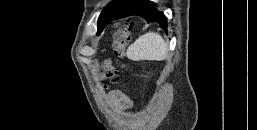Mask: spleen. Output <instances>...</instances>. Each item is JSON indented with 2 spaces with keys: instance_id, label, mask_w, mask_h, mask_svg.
<instances>
[{
  "instance_id": "1",
  "label": "spleen",
  "mask_w": 257,
  "mask_h": 130,
  "mask_svg": "<svg viewBox=\"0 0 257 130\" xmlns=\"http://www.w3.org/2000/svg\"><path fill=\"white\" fill-rule=\"evenodd\" d=\"M168 46L161 35L148 32L140 36L127 50V57L133 61H163L167 58Z\"/></svg>"
}]
</instances>
